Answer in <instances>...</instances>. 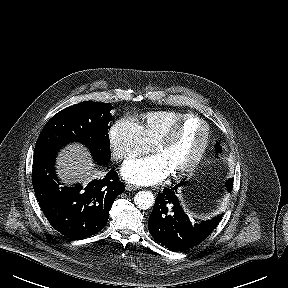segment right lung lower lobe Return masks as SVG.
Wrapping results in <instances>:
<instances>
[{
	"label": "right lung lower lobe",
	"instance_id": "obj_1",
	"mask_svg": "<svg viewBox=\"0 0 288 288\" xmlns=\"http://www.w3.org/2000/svg\"><path fill=\"white\" fill-rule=\"evenodd\" d=\"M54 157L33 161L32 183L39 205L49 223L71 239L89 237L105 227L115 198L124 190L113 169L103 179L62 186L54 172ZM108 162L99 163L107 165Z\"/></svg>",
	"mask_w": 288,
	"mask_h": 288
}]
</instances>
